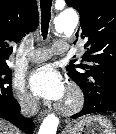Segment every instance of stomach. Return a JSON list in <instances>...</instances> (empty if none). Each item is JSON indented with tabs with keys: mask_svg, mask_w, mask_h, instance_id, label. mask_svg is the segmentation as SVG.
<instances>
[{
	"mask_svg": "<svg viewBox=\"0 0 116 134\" xmlns=\"http://www.w3.org/2000/svg\"><path fill=\"white\" fill-rule=\"evenodd\" d=\"M65 134H114L113 125L103 116H87L67 127Z\"/></svg>",
	"mask_w": 116,
	"mask_h": 134,
	"instance_id": "stomach-1",
	"label": "stomach"
}]
</instances>
